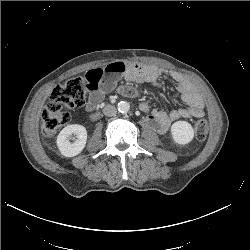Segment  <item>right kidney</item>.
Returning a JSON list of instances; mask_svg holds the SVG:
<instances>
[{"mask_svg":"<svg viewBox=\"0 0 250 250\" xmlns=\"http://www.w3.org/2000/svg\"><path fill=\"white\" fill-rule=\"evenodd\" d=\"M71 139H75V141L70 142ZM86 141V128L79 124H72L61 130L56 142L63 156L74 157L82 152V150L85 148Z\"/></svg>","mask_w":250,"mask_h":250,"instance_id":"right-kidney-1","label":"right kidney"}]
</instances>
